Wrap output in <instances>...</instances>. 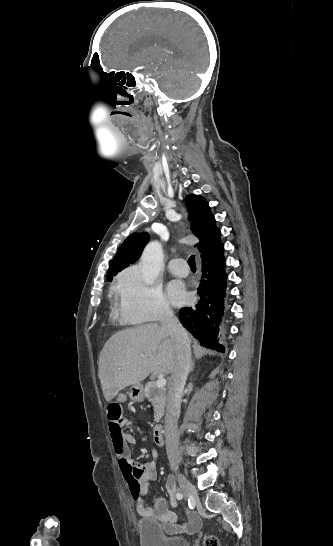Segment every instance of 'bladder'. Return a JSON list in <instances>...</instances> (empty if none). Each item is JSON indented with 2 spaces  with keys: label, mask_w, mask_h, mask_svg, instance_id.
Masks as SVG:
<instances>
[{
  "label": "bladder",
  "mask_w": 333,
  "mask_h": 546,
  "mask_svg": "<svg viewBox=\"0 0 333 546\" xmlns=\"http://www.w3.org/2000/svg\"><path fill=\"white\" fill-rule=\"evenodd\" d=\"M141 546H188V540L181 535H166L163 527L152 519H142L137 524Z\"/></svg>",
  "instance_id": "31cf9c89"
}]
</instances>
